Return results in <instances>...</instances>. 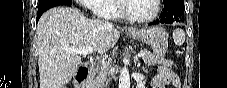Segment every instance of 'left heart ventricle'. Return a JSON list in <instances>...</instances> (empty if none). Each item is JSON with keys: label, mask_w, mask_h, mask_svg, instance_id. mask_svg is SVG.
<instances>
[{"label": "left heart ventricle", "mask_w": 227, "mask_h": 88, "mask_svg": "<svg viewBox=\"0 0 227 88\" xmlns=\"http://www.w3.org/2000/svg\"><path fill=\"white\" fill-rule=\"evenodd\" d=\"M126 10L134 17H149L155 12V3L154 0H132L126 2Z\"/></svg>", "instance_id": "1"}]
</instances>
